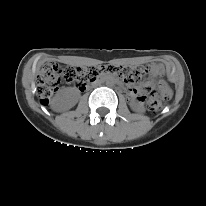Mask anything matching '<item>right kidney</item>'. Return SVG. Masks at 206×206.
Instances as JSON below:
<instances>
[{"label":"right kidney","instance_id":"obj_1","mask_svg":"<svg viewBox=\"0 0 206 206\" xmlns=\"http://www.w3.org/2000/svg\"><path fill=\"white\" fill-rule=\"evenodd\" d=\"M77 102V97L70 89H62L53 100L52 108L56 111H65L72 108Z\"/></svg>","mask_w":206,"mask_h":206}]
</instances>
